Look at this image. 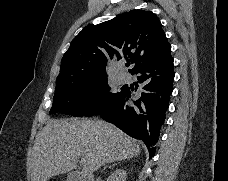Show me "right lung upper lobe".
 <instances>
[{
	"instance_id": "right-lung-upper-lobe-1",
	"label": "right lung upper lobe",
	"mask_w": 228,
	"mask_h": 181,
	"mask_svg": "<svg viewBox=\"0 0 228 181\" xmlns=\"http://www.w3.org/2000/svg\"><path fill=\"white\" fill-rule=\"evenodd\" d=\"M168 47L161 22L151 11L132 10L112 20L90 24L64 54L56 85L107 76V61L114 54L119 60V52L134 64V71Z\"/></svg>"
}]
</instances>
